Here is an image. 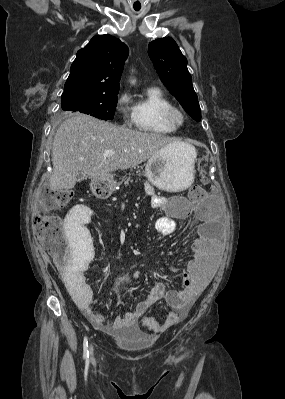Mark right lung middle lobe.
<instances>
[{"instance_id":"obj_1","label":"right lung middle lobe","mask_w":285,"mask_h":399,"mask_svg":"<svg viewBox=\"0 0 285 399\" xmlns=\"http://www.w3.org/2000/svg\"><path fill=\"white\" fill-rule=\"evenodd\" d=\"M117 94L118 92L108 94L100 92L62 94L61 107L63 110L79 111L102 120H111L114 118L117 106Z\"/></svg>"}]
</instances>
